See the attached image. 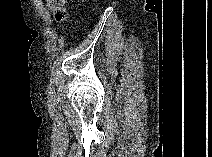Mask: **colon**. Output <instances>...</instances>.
<instances>
[{"instance_id": "5ec220e1", "label": "colon", "mask_w": 212, "mask_h": 157, "mask_svg": "<svg viewBox=\"0 0 212 157\" xmlns=\"http://www.w3.org/2000/svg\"><path fill=\"white\" fill-rule=\"evenodd\" d=\"M48 6L58 21L66 19V3L63 0H48Z\"/></svg>"}]
</instances>
